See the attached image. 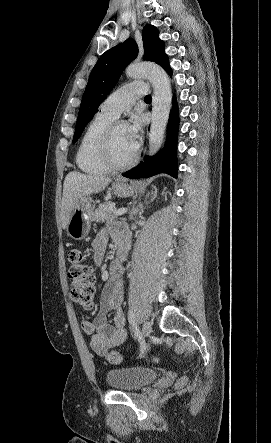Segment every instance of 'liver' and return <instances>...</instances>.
<instances>
[{
  "instance_id": "obj_1",
  "label": "liver",
  "mask_w": 271,
  "mask_h": 443,
  "mask_svg": "<svg viewBox=\"0 0 271 443\" xmlns=\"http://www.w3.org/2000/svg\"><path fill=\"white\" fill-rule=\"evenodd\" d=\"M110 182H112L111 178H104V176H89V174L86 176V174H79V172H69L64 180L61 202L63 229L67 227L71 212L79 198L89 196V194H99Z\"/></svg>"
}]
</instances>
